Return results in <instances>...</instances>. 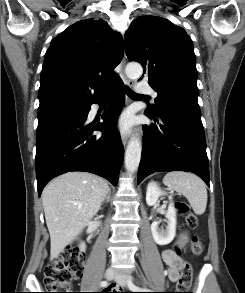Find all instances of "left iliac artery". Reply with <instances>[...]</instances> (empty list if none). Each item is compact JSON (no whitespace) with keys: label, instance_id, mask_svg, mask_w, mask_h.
Returning <instances> with one entry per match:
<instances>
[{"label":"left iliac artery","instance_id":"1","mask_svg":"<svg viewBox=\"0 0 245 293\" xmlns=\"http://www.w3.org/2000/svg\"><path fill=\"white\" fill-rule=\"evenodd\" d=\"M128 287H129L131 290H133V291H139V290H141V288H140V287H137L136 285H134V284L131 282L130 279L128 280Z\"/></svg>","mask_w":245,"mask_h":293}]
</instances>
